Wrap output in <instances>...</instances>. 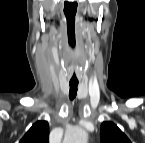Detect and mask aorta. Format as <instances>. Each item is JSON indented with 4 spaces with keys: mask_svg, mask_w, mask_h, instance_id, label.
I'll return each mask as SVG.
<instances>
[{
    "mask_svg": "<svg viewBox=\"0 0 145 143\" xmlns=\"http://www.w3.org/2000/svg\"><path fill=\"white\" fill-rule=\"evenodd\" d=\"M87 137L83 129L74 127L65 134L64 143H86Z\"/></svg>",
    "mask_w": 145,
    "mask_h": 143,
    "instance_id": "1",
    "label": "aorta"
}]
</instances>
